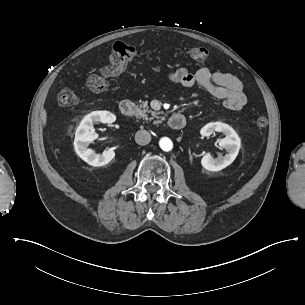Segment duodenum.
Segmentation results:
<instances>
[{
	"mask_svg": "<svg viewBox=\"0 0 305 305\" xmlns=\"http://www.w3.org/2000/svg\"><path fill=\"white\" fill-rule=\"evenodd\" d=\"M120 111L122 115L130 117L137 112V107L134 102L130 100H123L120 103ZM168 123L171 129L180 130L185 125V118L183 115L176 113L170 116Z\"/></svg>",
	"mask_w": 305,
	"mask_h": 305,
	"instance_id": "duodenum-1",
	"label": "duodenum"
}]
</instances>
